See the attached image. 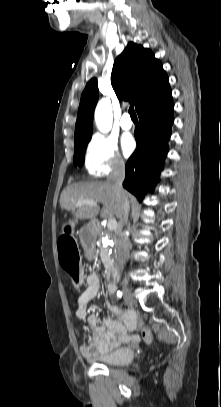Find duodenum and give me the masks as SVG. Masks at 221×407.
Here are the masks:
<instances>
[{
  "label": "duodenum",
  "mask_w": 221,
  "mask_h": 407,
  "mask_svg": "<svg viewBox=\"0 0 221 407\" xmlns=\"http://www.w3.org/2000/svg\"><path fill=\"white\" fill-rule=\"evenodd\" d=\"M106 276L108 281L111 283H115L119 279V273L114 267L108 268Z\"/></svg>",
  "instance_id": "duodenum-1"
}]
</instances>
